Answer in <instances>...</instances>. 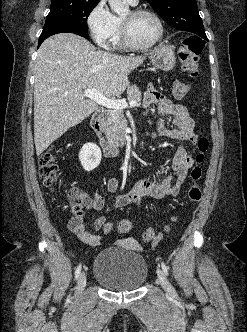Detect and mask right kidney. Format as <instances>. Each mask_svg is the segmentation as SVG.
Here are the masks:
<instances>
[{
    "label": "right kidney",
    "instance_id": "right-kidney-1",
    "mask_svg": "<svg viewBox=\"0 0 247 332\" xmlns=\"http://www.w3.org/2000/svg\"><path fill=\"white\" fill-rule=\"evenodd\" d=\"M101 157V150L94 143L84 144L79 153V160L86 171L94 170L100 164Z\"/></svg>",
    "mask_w": 247,
    "mask_h": 332
}]
</instances>
